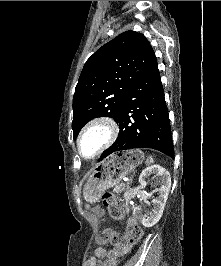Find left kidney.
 <instances>
[{"mask_svg":"<svg viewBox=\"0 0 221 266\" xmlns=\"http://www.w3.org/2000/svg\"><path fill=\"white\" fill-rule=\"evenodd\" d=\"M156 174V176H160V195L158 198L153 200L154 207L150 212V215H143L142 209L140 207H136L135 212L138 215L142 225L144 227H152L155 225L161 218L168 194L171 187V177L170 173L160 165H152L146 167L140 174L139 183L141 186H145L147 184V178L152 175ZM141 199L146 198L145 194H140Z\"/></svg>","mask_w":221,"mask_h":266,"instance_id":"1","label":"left kidney"}]
</instances>
